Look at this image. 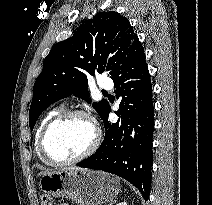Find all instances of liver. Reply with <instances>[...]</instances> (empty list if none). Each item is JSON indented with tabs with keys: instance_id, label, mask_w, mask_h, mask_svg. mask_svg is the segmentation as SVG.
I'll return each instance as SVG.
<instances>
[{
	"instance_id": "6515ba94",
	"label": "liver",
	"mask_w": 212,
	"mask_h": 205,
	"mask_svg": "<svg viewBox=\"0 0 212 205\" xmlns=\"http://www.w3.org/2000/svg\"><path fill=\"white\" fill-rule=\"evenodd\" d=\"M70 169H81V168H70Z\"/></svg>"
}]
</instances>
